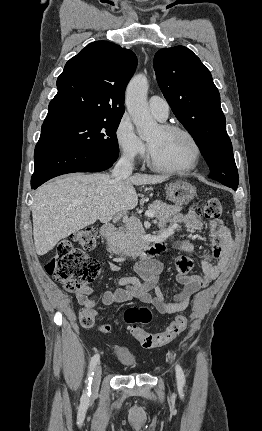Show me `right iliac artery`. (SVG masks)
<instances>
[{"instance_id":"1","label":"right iliac artery","mask_w":262,"mask_h":431,"mask_svg":"<svg viewBox=\"0 0 262 431\" xmlns=\"http://www.w3.org/2000/svg\"><path fill=\"white\" fill-rule=\"evenodd\" d=\"M99 354H95L90 362V368H89V373H88V377L86 379V383H87V389L85 391V393L82 396V400H88L91 394V383H92V378H93V371L94 368L96 367L98 361H99Z\"/></svg>"}]
</instances>
